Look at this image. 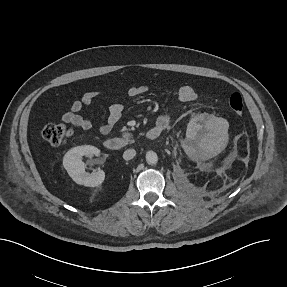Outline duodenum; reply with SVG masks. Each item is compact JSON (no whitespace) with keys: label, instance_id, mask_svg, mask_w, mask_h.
<instances>
[{"label":"duodenum","instance_id":"1","mask_svg":"<svg viewBox=\"0 0 287 287\" xmlns=\"http://www.w3.org/2000/svg\"><path fill=\"white\" fill-rule=\"evenodd\" d=\"M163 130H164L163 128L155 126L147 131L146 134L147 138L150 140H155L160 136ZM126 144H127L126 140L120 137H112L104 141V146L108 150L112 151L120 150L124 148Z\"/></svg>","mask_w":287,"mask_h":287}]
</instances>
